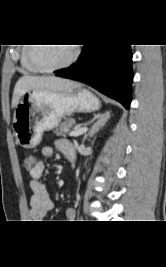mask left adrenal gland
I'll list each match as a JSON object with an SVG mask.
<instances>
[{"label": "left adrenal gland", "instance_id": "a2214340", "mask_svg": "<svg viewBox=\"0 0 166 267\" xmlns=\"http://www.w3.org/2000/svg\"><path fill=\"white\" fill-rule=\"evenodd\" d=\"M109 116H110V113L95 115L93 120H96V121L91 126L88 134L85 135L84 140H86L88 137H93L94 134L98 132L104 126Z\"/></svg>", "mask_w": 166, "mask_h": 267}]
</instances>
